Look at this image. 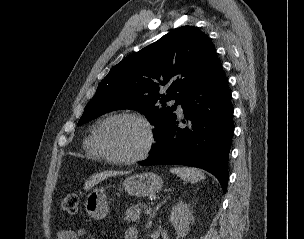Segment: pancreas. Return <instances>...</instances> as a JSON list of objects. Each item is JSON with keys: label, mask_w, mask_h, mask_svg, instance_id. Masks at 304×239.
<instances>
[{"label": "pancreas", "mask_w": 304, "mask_h": 239, "mask_svg": "<svg viewBox=\"0 0 304 239\" xmlns=\"http://www.w3.org/2000/svg\"><path fill=\"white\" fill-rule=\"evenodd\" d=\"M146 208H147V205L141 204V203L131 206L129 209H127L125 211L124 221H127V222L139 221V219H140L139 216L141 214V211Z\"/></svg>", "instance_id": "obj_1"}]
</instances>
